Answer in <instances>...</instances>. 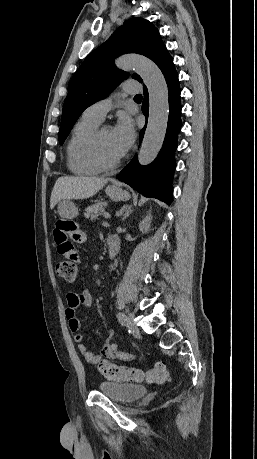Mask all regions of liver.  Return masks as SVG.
Returning a JSON list of instances; mask_svg holds the SVG:
<instances>
[{"instance_id":"obj_1","label":"liver","mask_w":257,"mask_h":459,"mask_svg":"<svg viewBox=\"0 0 257 459\" xmlns=\"http://www.w3.org/2000/svg\"><path fill=\"white\" fill-rule=\"evenodd\" d=\"M107 179L85 176H63L57 179L50 198V208L63 199L78 200L94 196L107 183Z\"/></svg>"}]
</instances>
